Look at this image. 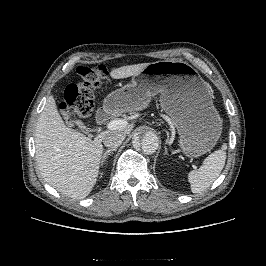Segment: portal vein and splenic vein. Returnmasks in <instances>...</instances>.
Wrapping results in <instances>:
<instances>
[{
	"mask_svg": "<svg viewBox=\"0 0 266 266\" xmlns=\"http://www.w3.org/2000/svg\"><path fill=\"white\" fill-rule=\"evenodd\" d=\"M127 121L125 119L112 120L107 124L108 130H118L123 129L127 126Z\"/></svg>",
	"mask_w": 266,
	"mask_h": 266,
	"instance_id": "18ae733b",
	"label": "portal vein and splenic vein"
}]
</instances>
